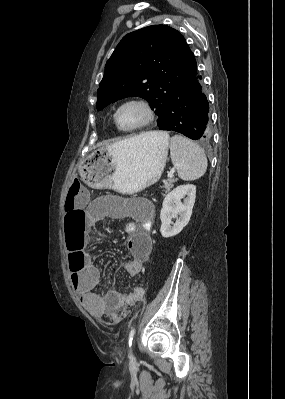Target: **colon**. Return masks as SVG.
<instances>
[{
  "label": "colon",
  "instance_id": "obj_1",
  "mask_svg": "<svg viewBox=\"0 0 285 399\" xmlns=\"http://www.w3.org/2000/svg\"><path fill=\"white\" fill-rule=\"evenodd\" d=\"M83 188L84 186L79 180H75L70 187L65 202L66 218L70 226L77 225L85 220V213L80 209L77 202V198L81 195ZM66 241L69 250L70 270L73 272L80 271L85 266V249L83 245L77 241L75 235L71 231L66 233ZM130 307L131 305H126L117 315L116 319L125 317Z\"/></svg>",
  "mask_w": 285,
  "mask_h": 399
}]
</instances>
